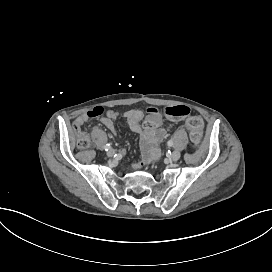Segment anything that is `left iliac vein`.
<instances>
[{
    "instance_id": "left-iliac-vein-1",
    "label": "left iliac vein",
    "mask_w": 272,
    "mask_h": 272,
    "mask_svg": "<svg viewBox=\"0 0 272 272\" xmlns=\"http://www.w3.org/2000/svg\"><path fill=\"white\" fill-rule=\"evenodd\" d=\"M180 156H181V153L179 151L175 150L168 156V158L170 161L175 162L180 158Z\"/></svg>"
}]
</instances>
